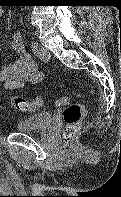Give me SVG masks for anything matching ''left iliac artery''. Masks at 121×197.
<instances>
[{
  "label": "left iliac artery",
  "instance_id": "1",
  "mask_svg": "<svg viewBox=\"0 0 121 197\" xmlns=\"http://www.w3.org/2000/svg\"><path fill=\"white\" fill-rule=\"evenodd\" d=\"M38 48H39L38 43L35 42V41H31V49H32V51L36 53Z\"/></svg>",
  "mask_w": 121,
  "mask_h": 197
}]
</instances>
